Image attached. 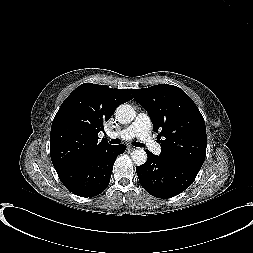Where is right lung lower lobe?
<instances>
[{
  "label": "right lung lower lobe",
  "instance_id": "98d812e1",
  "mask_svg": "<svg viewBox=\"0 0 253 253\" xmlns=\"http://www.w3.org/2000/svg\"><path fill=\"white\" fill-rule=\"evenodd\" d=\"M124 151L123 144L110 145L84 162L58 171L57 174L61 182L74 194L81 197H94L107 188L115 159Z\"/></svg>",
  "mask_w": 253,
  "mask_h": 253
}]
</instances>
